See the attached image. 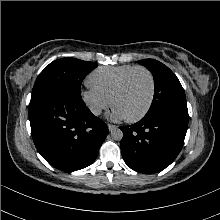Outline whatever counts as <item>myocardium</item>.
Listing matches in <instances>:
<instances>
[{
	"label": "myocardium",
	"instance_id": "obj_1",
	"mask_svg": "<svg viewBox=\"0 0 220 220\" xmlns=\"http://www.w3.org/2000/svg\"><path fill=\"white\" fill-rule=\"evenodd\" d=\"M138 71H143L148 75L150 79V84H151V91H150V97H149L148 103L146 107L144 108V110L134 117L126 118L128 122H132V123L138 122L141 119H143L148 114V112L150 111L152 107V104L154 102L155 92H156V83H155V78H154L153 73L146 67H143V66L135 67L121 80V82L118 84L116 89L113 91L111 98H110L112 105H114L115 98L124 90L130 78Z\"/></svg>",
	"mask_w": 220,
	"mask_h": 220
}]
</instances>
